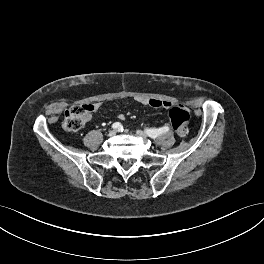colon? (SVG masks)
Listing matches in <instances>:
<instances>
[{"mask_svg":"<svg viewBox=\"0 0 264 264\" xmlns=\"http://www.w3.org/2000/svg\"><path fill=\"white\" fill-rule=\"evenodd\" d=\"M93 111L91 105H75L66 110L63 120V127L67 131L76 132L88 121ZM169 120L179 136H186L188 133L190 115L183 106L173 107L169 111Z\"/></svg>","mask_w":264,"mask_h":264,"instance_id":"1","label":"colon"}]
</instances>
